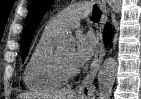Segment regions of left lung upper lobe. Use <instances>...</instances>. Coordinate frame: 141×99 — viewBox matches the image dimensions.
<instances>
[{"instance_id": "left-lung-upper-lobe-1", "label": "left lung upper lobe", "mask_w": 141, "mask_h": 99, "mask_svg": "<svg viewBox=\"0 0 141 99\" xmlns=\"http://www.w3.org/2000/svg\"><path fill=\"white\" fill-rule=\"evenodd\" d=\"M53 0H32L29 13L26 19V24L22 34L21 49L23 54V60L26 57L29 47L31 45V39L37 24L41 20L44 13L50 8Z\"/></svg>"}]
</instances>
